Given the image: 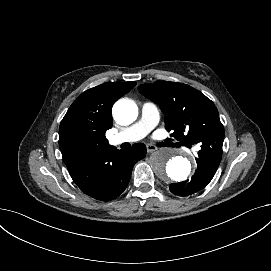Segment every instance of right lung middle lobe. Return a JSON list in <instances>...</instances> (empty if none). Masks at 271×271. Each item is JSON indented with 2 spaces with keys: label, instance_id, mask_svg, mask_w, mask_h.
Here are the masks:
<instances>
[{
  "label": "right lung middle lobe",
  "instance_id": "right-lung-middle-lobe-1",
  "mask_svg": "<svg viewBox=\"0 0 271 271\" xmlns=\"http://www.w3.org/2000/svg\"><path fill=\"white\" fill-rule=\"evenodd\" d=\"M105 143L106 142H99L94 139H87L86 140L87 147L91 150H99L105 146Z\"/></svg>",
  "mask_w": 271,
  "mask_h": 271
}]
</instances>
